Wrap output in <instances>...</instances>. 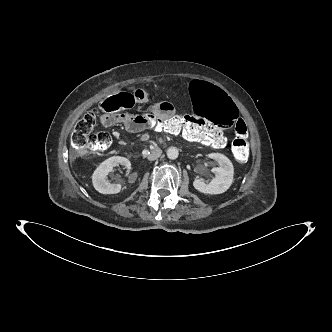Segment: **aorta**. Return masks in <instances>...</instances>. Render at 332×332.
<instances>
[{"mask_svg":"<svg viewBox=\"0 0 332 332\" xmlns=\"http://www.w3.org/2000/svg\"><path fill=\"white\" fill-rule=\"evenodd\" d=\"M179 155L178 149L176 147H170L167 150V157L171 160L177 159Z\"/></svg>","mask_w":332,"mask_h":332,"instance_id":"aorta-1","label":"aorta"}]
</instances>
